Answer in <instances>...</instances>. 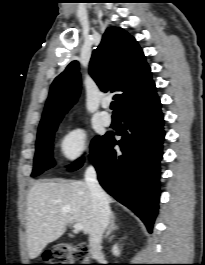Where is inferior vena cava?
Returning a JSON list of instances; mask_svg holds the SVG:
<instances>
[{"label": "inferior vena cava", "instance_id": "inferior-vena-cava-1", "mask_svg": "<svg viewBox=\"0 0 205 265\" xmlns=\"http://www.w3.org/2000/svg\"><path fill=\"white\" fill-rule=\"evenodd\" d=\"M85 181L91 193L93 206V224L89 236V246L92 257L96 258L101 254L102 236L109 224L111 211L108 196L99 185L93 166L86 169Z\"/></svg>", "mask_w": 205, "mask_h": 265}]
</instances>
